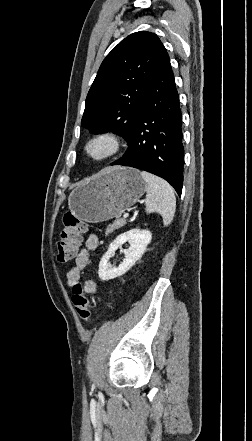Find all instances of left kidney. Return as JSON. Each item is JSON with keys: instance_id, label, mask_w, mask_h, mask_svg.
<instances>
[{"instance_id": "obj_1", "label": "left kidney", "mask_w": 252, "mask_h": 441, "mask_svg": "<svg viewBox=\"0 0 252 441\" xmlns=\"http://www.w3.org/2000/svg\"><path fill=\"white\" fill-rule=\"evenodd\" d=\"M152 239L149 230L133 229L120 234L109 246L108 251L102 257L99 263V278L103 281L114 279L125 274L135 262L144 254L147 245ZM129 242L130 248L124 250L125 258L118 267H109V259L114 252L124 243Z\"/></svg>"}]
</instances>
